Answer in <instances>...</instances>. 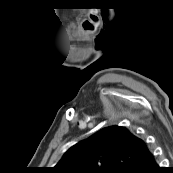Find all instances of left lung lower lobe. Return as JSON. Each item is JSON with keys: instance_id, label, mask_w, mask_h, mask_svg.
Returning <instances> with one entry per match:
<instances>
[{"instance_id": "obj_1", "label": "left lung lower lobe", "mask_w": 173, "mask_h": 173, "mask_svg": "<svg viewBox=\"0 0 173 173\" xmlns=\"http://www.w3.org/2000/svg\"><path fill=\"white\" fill-rule=\"evenodd\" d=\"M137 173H162V168L158 166L155 157L152 154L145 165L139 169Z\"/></svg>"}]
</instances>
